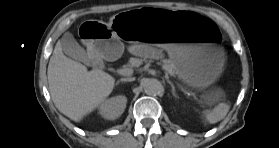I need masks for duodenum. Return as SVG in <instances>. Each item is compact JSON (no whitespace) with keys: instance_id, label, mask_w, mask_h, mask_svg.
Returning a JSON list of instances; mask_svg holds the SVG:
<instances>
[{"instance_id":"1","label":"duodenum","mask_w":279,"mask_h":148,"mask_svg":"<svg viewBox=\"0 0 279 148\" xmlns=\"http://www.w3.org/2000/svg\"><path fill=\"white\" fill-rule=\"evenodd\" d=\"M93 64H94V67L99 70L103 69L105 67V63L101 58L94 59Z\"/></svg>"}]
</instances>
